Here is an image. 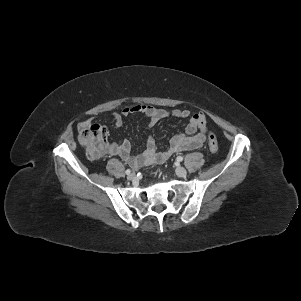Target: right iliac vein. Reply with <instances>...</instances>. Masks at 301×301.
Returning a JSON list of instances; mask_svg holds the SVG:
<instances>
[{"instance_id":"1","label":"right iliac vein","mask_w":301,"mask_h":301,"mask_svg":"<svg viewBox=\"0 0 301 301\" xmlns=\"http://www.w3.org/2000/svg\"><path fill=\"white\" fill-rule=\"evenodd\" d=\"M136 178V174L135 173H131L127 176L128 180H134Z\"/></svg>"}]
</instances>
